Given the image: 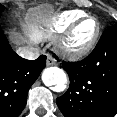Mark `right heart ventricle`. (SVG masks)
Segmentation results:
<instances>
[{"mask_svg": "<svg viewBox=\"0 0 117 117\" xmlns=\"http://www.w3.org/2000/svg\"><path fill=\"white\" fill-rule=\"evenodd\" d=\"M86 16V13L81 10H68L59 13L51 25L44 30H37L34 33V38L43 40L51 37L55 33H60L68 29L77 19Z\"/></svg>", "mask_w": 117, "mask_h": 117, "instance_id": "right-heart-ventricle-1", "label": "right heart ventricle"}]
</instances>
